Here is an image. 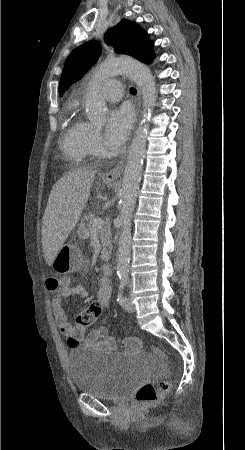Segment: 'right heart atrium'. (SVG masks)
Wrapping results in <instances>:
<instances>
[{"label": "right heart atrium", "instance_id": "obj_1", "mask_svg": "<svg viewBox=\"0 0 245 450\" xmlns=\"http://www.w3.org/2000/svg\"><path fill=\"white\" fill-rule=\"evenodd\" d=\"M87 146L91 154H97L102 150L101 135L92 125L89 126L87 133Z\"/></svg>", "mask_w": 245, "mask_h": 450}]
</instances>
